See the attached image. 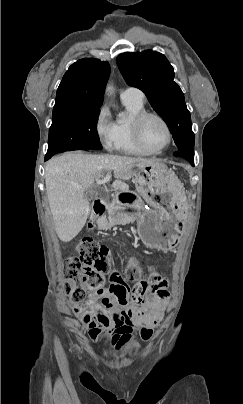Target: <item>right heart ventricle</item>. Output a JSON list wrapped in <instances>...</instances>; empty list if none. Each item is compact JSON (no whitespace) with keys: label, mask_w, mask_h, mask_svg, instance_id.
<instances>
[{"label":"right heart ventricle","mask_w":243,"mask_h":404,"mask_svg":"<svg viewBox=\"0 0 243 404\" xmlns=\"http://www.w3.org/2000/svg\"><path fill=\"white\" fill-rule=\"evenodd\" d=\"M141 90L133 88L129 93L121 95V102L127 112L126 119H119L115 122L118 142V152L123 155L143 157L150 153L140 148L134 141L131 131L130 122L139 113L145 110L144 101L138 96Z\"/></svg>","instance_id":"e07e8e85"}]
</instances>
